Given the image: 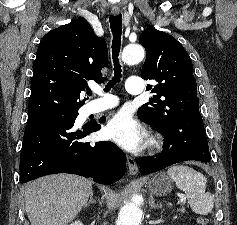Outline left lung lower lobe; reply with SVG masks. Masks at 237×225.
I'll list each match as a JSON object with an SVG mask.
<instances>
[{"label":"left lung lower lobe","mask_w":237,"mask_h":225,"mask_svg":"<svg viewBox=\"0 0 237 225\" xmlns=\"http://www.w3.org/2000/svg\"><path fill=\"white\" fill-rule=\"evenodd\" d=\"M166 138L163 152L156 158L140 160L141 174L159 171L170 165L187 161H210L209 147L199 109H195L172 126L161 131Z\"/></svg>","instance_id":"obj_1"}]
</instances>
